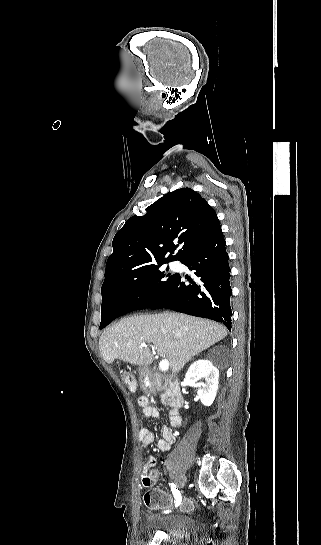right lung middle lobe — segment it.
I'll list each match as a JSON object with an SVG mask.
<instances>
[{
	"label": "right lung middle lobe",
	"instance_id": "right-lung-middle-lobe-1",
	"mask_svg": "<svg viewBox=\"0 0 321 545\" xmlns=\"http://www.w3.org/2000/svg\"><path fill=\"white\" fill-rule=\"evenodd\" d=\"M132 273L126 276L122 282L116 287L105 288L101 290L102 293V305L112 295H126L141 301L144 304L152 303L158 296H160L174 280L177 274H166L164 271L159 270V266ZM167 267V271H168ZM164 280V278H166ZM105 323L104 318L101 319L100 329L103 328Z\"/></svg>",
	"mask_w": 321,
	"mask_h": 545
}]
</instances>
